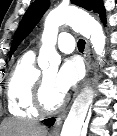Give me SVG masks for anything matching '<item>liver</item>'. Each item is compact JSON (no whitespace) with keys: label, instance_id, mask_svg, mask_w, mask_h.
I'll return each instance as SVG.
<instances>
[{"label":"liver","instance_id":"obj_1","mask_svg":"<svg viewBox=\"0 0 117 136\" xmlns=\"http://www.w3.org/2000/svg\"><path fill=\"white\" fill-rule=\"evenodd\" d=\"M4 136H46L47 130L37 123L23 120L3 122Z\"/></svg>","mask_w":117,"mask_h":136}]
</instances>
